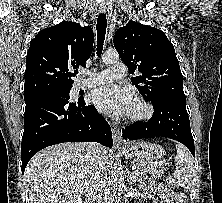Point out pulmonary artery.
<instances>
[{
	"label": "pulmonary artery",
	"instance_id": "obj_1",
	"mask_svg": "<svg viewBox=\"0 0 222 203\" xmlns=\"http://www.w3.org/2000/svg\"><path fill=\"white\" fill-rule=\"evenodd\" d=\"M126 75V66L123 63H116L108 69L100 72H91L87 78L78 82V88H88L101 85L113 80L121 79Z\"/></svg>",
	"mask_w": 222,
	"mask_h": 203
}]
</instances>
